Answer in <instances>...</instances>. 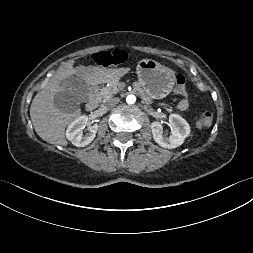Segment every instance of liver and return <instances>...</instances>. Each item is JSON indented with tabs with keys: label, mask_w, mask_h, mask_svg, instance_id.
I'll list each match as a JSON object with an SVG mask.
<instances>
[{
	"label": "liver",
	"mask_w": 253,
	"mask_h": 253,
	"mask_svg": "<svg viewBox=\"0 0 253 253\" xmlns=\"http://www.w3.org/2000/svg\"><path fill=\"white\" fill-rule=\"evenodd\" d=\"M74 61H68L60 67L48 85L38 92L30 106V117L36 133L46 142L67 146L65 129L76 117L81 115L78 107L73 113L58 110L54 105V96L62 91V81L75 75L87 85L113 83L125 72L124 69L101 68L97 66H79L74 68Z\"/></svg>",
	"instance_id": "liver-1"
}]
</instances>
